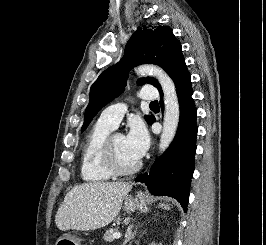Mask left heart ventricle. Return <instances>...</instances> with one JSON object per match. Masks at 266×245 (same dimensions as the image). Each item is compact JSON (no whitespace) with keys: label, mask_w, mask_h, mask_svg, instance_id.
<instances>
[{"label":"left heart ventricle","mask_w":266,"mask_h":245,"mask_svg":"<svg viewBox=\"0 0 266 245\" xmlns=\"http://www.w3.org/2000/svg\"><path fill=\"white\" fill-rule=\"evenodd\" d=\"M112 150L119 168L127 170L136 164L137 161L132 158L125 147L124 137L122 135L116 134L114 136L112 140Z\"/></svg>","instance_id":"left-heart-ventricle-1"}]
</instances>
